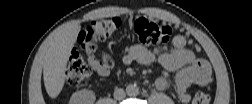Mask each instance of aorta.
<instances>
[{
  "label": "aorta",
  "instance_id": "1",
  "mask_svg": "<svg viewBox=\"0 0 252 104\" xmlns=\"http://www.w3.org/2000/svg\"><path fill=\"white\" fill-rule=\"evenodd\" d=\"M126 94L129 97H136L139 94V87L136 84L127 85Z\"/></svg>",
  "mask_w": 252,
  "mask_h": 104
}]
</instances>
